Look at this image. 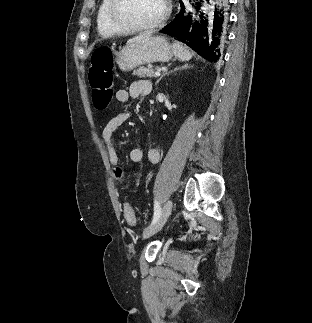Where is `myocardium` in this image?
I'll return each instance as SVG.
<instances>
[{"mask_svg":"<svg viewBox=\"0 0 312 323\" xmlns=\"http://www.w3.org/2000/svg\"><path fill=\"white\" fill-rule=\"evenodd\" d=\"M109 10L106 15L110 21H114L118 31H150V27L163 25L164 21H168L173 8L172 0H161V12L155 20H122L120 12L121 3L119 0H106Z\"/></svg>","mask_w":312,"mask_h":323,"instance_id":"f54148a6","label":"myocardium"}]
</instances>
